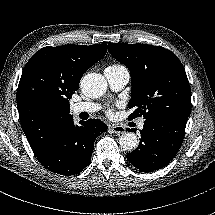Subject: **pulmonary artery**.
<instances>
[{
    "mask_svg": "<svg viewBox=\"0 0 215 215\" xmlns=\"http://www.w3.org/2000/svg\"><path fill=\"white\" fill-rule=\"evenodd\" d=\"M104 75L113 90L122 89L129 81V71L121 66L118 68L107 67ZM99 109V105L92 102H79L71 106V113L77 115L80 113H92ZM139 128H144V119L139 121Z\"/></svg>",
    "mask_w": 215,
    "mask_h": 215,
    "instance_id": "e3ab8cb5",
    "label": "pulmonary artery"
}]
</instances>
